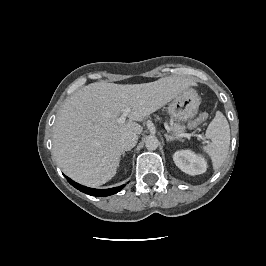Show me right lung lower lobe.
Returning a JSON list of instances; mask_svg holds the SVG:
<instances>
[{"instance_id": "98d812e1", "label": "right lung lower lobe", "mask_w": 266, "mask_h": 266, "mask_svg": "<svg viewBox=\"0 0 266 266\" xmlns=\"http://www.w3.org/2000/svg\"><path fill=\"white\" fill-rule=\"evenodd\" d=\"M66 178H67V181L76 189H78V190H80L86 194H89L92 196H99V197L109 196V195L115 194V193L119 192L125 186V185H122V186L114 187L111 189H93V188H88L86 186H82V185L74 182L73 180H71L68 177H66Z\"/></svg>"}]
</instances>
